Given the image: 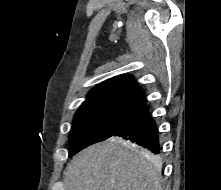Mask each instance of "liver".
<instances>
[{"label": "liver", "instance_id": "obj_1", "mask_svg": "<svg viewBox=\"0 0 221 190\" xmlns=\"http://www.w3.org/2000/svg\"><path fill=\"white\" fill-rule=\"evenodd\" d=\"M64 176L67 190H161L155 157L114 137L77 154Z\"/></svg>", "mask_w": 221, "mask_h": 190}]
</instances>
